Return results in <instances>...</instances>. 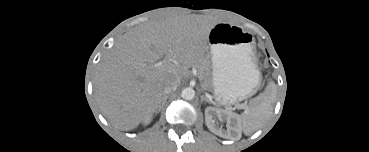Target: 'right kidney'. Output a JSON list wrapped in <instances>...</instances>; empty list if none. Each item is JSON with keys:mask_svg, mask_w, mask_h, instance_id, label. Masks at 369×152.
Masks as SVG:
<instances>
[{"mask_svg": "<svg viewBox=\"0 0 369 152\" xmlns=\"http://www.w3.org/2000/svg\"><path fill=\"white\" fill-rule=\"evenodd\" d=\"M152 118L153 116L147 117L146 119H144L143 124L148 125L152 121Z\"/></svg>", "mask_w": 369, "mask_h": 152, "instance_id": "obj_1", "label": "right kidney"}]
</instances>
